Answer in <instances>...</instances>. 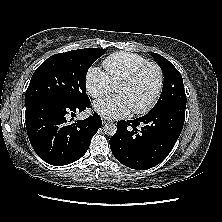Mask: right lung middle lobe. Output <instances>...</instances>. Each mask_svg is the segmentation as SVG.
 <instances>
[{
    "instance_id": "obj_1",
    "label": "right lung middle lobe",
    "mask_w": 222,
    "mask_h": 222,
    "mask_svg": "<svg viewBox=\"0 0 222 222\" xmlns=\"http://www.w3.org/2000/svg\"><path fill=\"white\" fill-rule=\"evenodd\" d=\"M105 52L106 49L85 48L52 55L34 72L25 94V105L46 98L70 103L88 99L87 71Z\"/></svg>"
}]
</instances>
